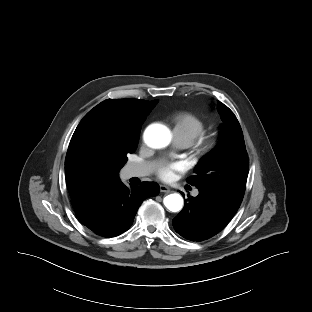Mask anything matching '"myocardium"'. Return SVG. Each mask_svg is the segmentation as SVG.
Listing matches in <instances>:
<instances>
[{
  "mask_svg": "<svg viewBox=\"0 0 312 312\" xmlns=\"http://www.w3.org/2000/svg\"><path fill=\"white\" fill-rule=\"evenodd\" d=\"M221 142L222 138L217 132L203 136L194 144L195 153L199 157L210 156L218 150Z\"/></svg>",
  "mask_w": 312,
  "mask_h": 312,
  "instance_id": "myocardium-1",
  "label": "myocardium"
}]
</instances>
